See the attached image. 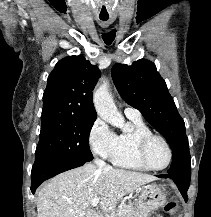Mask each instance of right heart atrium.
<instances>
[{"instance_id": "1", "label": "right heart atrium", "mask_w": 211, "mask_h": 217, "mask_svg": "<svg viewBox=\"0 0 211 217\" xmlns=\"http://www.w3.org/2000/svg\"><path fill=\"white\" fill-rule=\"evenodd\" d=\"M92 151L104 159H111L117 143L116 133L102 119H96L89 131Z\"/></svg>"}]
</instances>
